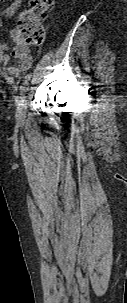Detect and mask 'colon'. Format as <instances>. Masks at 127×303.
<instances>
[{
  "instance_id": "colon-1",
  "label": "colon",
  "mask_w": 127,
  "mask_h": 303,
  "mask_svg": "<svg viewBox=\"0 0 127 303\" xmlns=\"http://www.w3.org/2000/svg\"><path fill=\"white\" fill-rule=\"evenodd\" d=\"M53 0H30L28 9L17 23V42L22 46H39L45 40L43 21L47 17Z\"/></svg>"
}]
</instances>
